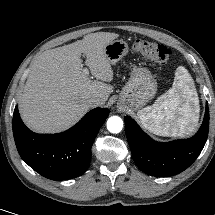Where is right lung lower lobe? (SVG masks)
Wrapping results in <instances>:
<instances>
[{"instance_id":"1","label":"right lung lower lobe","mask_w":215,"mask_h":215,"mask_svg":"<svg viewBox=\"0 0 215 215\" xmlns=\"http://www.w3.org/2000/svg\"><path fill=\"white\" fill-rule=\"evenodd\" d=\"M108 115L109 109L95 108L65 132L37 134L24 125L16 106L13 114L16 147L21 158L48 179L78 177L89 167L93 141Z\"/></svg>"}]
</instances>
